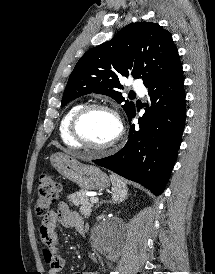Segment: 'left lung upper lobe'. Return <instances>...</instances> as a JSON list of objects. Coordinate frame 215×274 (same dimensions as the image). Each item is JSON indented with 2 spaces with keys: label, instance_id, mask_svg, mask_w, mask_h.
Here are the masks:
<instances>
[{
  "label": "left lung upper lobe",
  "instance_id": "5c2ea615",
  "mask_svg": "<svg viewBox=\"0 0 215 274\" xmlns=\"http://www.w3.org/2000/svg\"><path fill=\"white\" fill-rule=\"evenodd\" d=\"M181 66L170 32L157 23L139 22L124 27L110 41L87 51L77 62L63 94L61 106L89 93L108 95L129 116L133 102L119 92L122 76L142 78L144 85L162 80Z\"/></svg>",
  "mask_w": 215,
  "mask_h": 274
}]
</instances>
